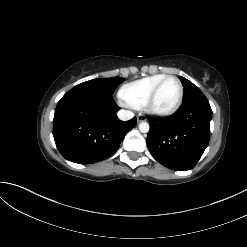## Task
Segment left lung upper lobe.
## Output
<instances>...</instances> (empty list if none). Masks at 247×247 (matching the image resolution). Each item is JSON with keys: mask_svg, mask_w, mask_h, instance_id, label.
Masks as SVG:
<instances>
[{"mask_svg": "<svg viewBox=\"0 0 247 247\" xmlns=\"http://www.w3.org/2000/svg\"><path fill=\"white\" fill-rule=\"evenodd\" d=\"M182 85L184 86L183 89V102H186L192 99L195 96L203 95L200 89L194 85L191 81L184 77H180Z\"/></svg>", "mask_w": 247, "mask_h": 247, "instance_id": "left-lung-upper-lobe-1", "label": "left lung upper lobe"}]
</instances>
